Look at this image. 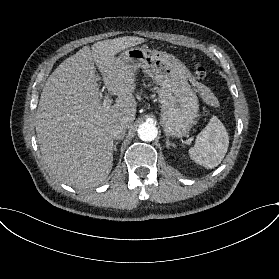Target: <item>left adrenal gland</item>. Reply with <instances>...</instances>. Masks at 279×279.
Wrapping results in <instances>:
<instances>
[{
  "label": "left adrenal gland",
  "instance_id": "obj_1",
  "mask_svg": "<svg viewBox=\"0 0 279 279\" xmlns=\"http://www.w3.org/2000/svg\"><path fill=\"white\" fill-rule=\"evenodd\" d=\"M165 145H166V148H167V149H170L171 146H173L174 148H176V145H175V144L169 143V139H168V138H166Z\"/></svg>",
  "mask_w": 279,
  "mask_h": 279
}]
</instances>
